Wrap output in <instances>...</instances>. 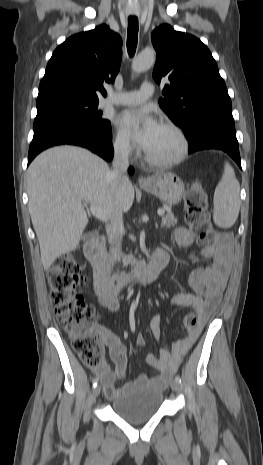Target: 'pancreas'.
<instances>
[{
  "label": "pancreas",
  "mask_w": 263,
  "mask_h": 465,
  "mask_svg": "<svg viewBox=\"0 0 263 465\" xmlns=\"http://www.w3.org/2000/svg\"><path fill=\"white\" fill-rule=\"evenodd\" d=\"M177 223L176 218L172 213H168L167 215L163 216L162 222H161V227L162 228H171L175 226ZM110 260L115 263L117 261H120L121 255L117 251L116 248L112 247L109 252ZM124 266H127L128 264L130 265H135L136 261L132 255H123L122 257Z\"/></svg>",
  "instance_id": "obj_1"
}]
</instances>
